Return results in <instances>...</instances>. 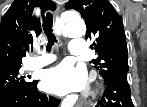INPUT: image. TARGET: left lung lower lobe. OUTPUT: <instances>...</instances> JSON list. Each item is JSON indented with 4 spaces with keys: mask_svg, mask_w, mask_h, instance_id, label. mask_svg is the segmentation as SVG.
I'll use <instances>...</instances> for the list:
<instances>
[{
    "mask_svg": "<svg viewBox=\"0 0 147 107\" xmlns=\"http://www.w3.org/2000/svg\"><path fill=\"white\" fill-rule=\"evenodd\" d=\"M105 84L104 96L96 107H134L127 72H119L105 79Z\"/></svg>",
    "mask_w": 147,
    "mask_h": 107,
    "instance_id": "left-lung-lower-lobe-1",
    "label": "left lung lower lobe"
}]
</instances>
